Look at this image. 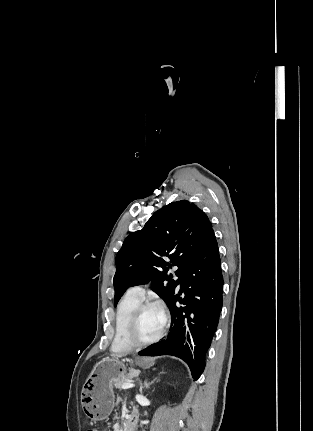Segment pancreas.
I'll list each match as a JSON object with an SVG mask.
<instances>
[{
    "label": "pancreas",
    "mask_w": 313,
    "mask_h": 431,
    "mask_svg": "<svg viewBox=\"0 0 313 431\" xmlns=\"http://www.w3.org/2000/svg\"><path fill=\"white\" fill-rule=\"evenodd\" d=\"M137 373L138 372L133 371L132 373H129L127 376H122L118 378L114 383L115 388L121 389L124 383L132 382V378L135 377Z\"/></svg>",
    "instance_id": "pancreas-1"
}]
</instances>
